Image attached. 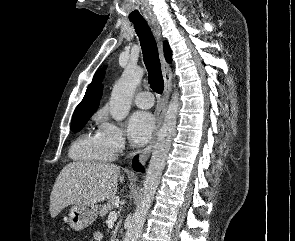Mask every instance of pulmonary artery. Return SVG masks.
<instances>
[{
    "label": "pulmonary artery",
    "instance_id": "pulmonary-artery-1",
    "mask_svg": "<svg viewBox=\"0 0 295 241\" xmlns=\"http://www.w3.org/2000/svg\"><path fill=\"white\" fill-rule=\"evenodd\" d=\"M135 104L143 109H148L154 104L153 94L149 91H143L138 93L134 98Z\"/></svg>",
    "mask_w": 295,
    "mask_h": 241
}]
</instances>
